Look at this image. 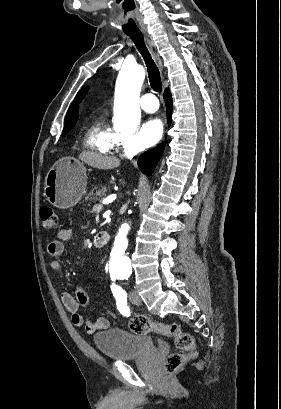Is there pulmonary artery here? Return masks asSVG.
<instances>
[{"label":"pulmonary artery","instance_id":"e3ab8cb5","mask_svg":"<svg viewBox=\"0 0 281 409\" xmlns=\"http://www.w3.org/2000/svg\"><path fill=\"white\" fill-rule=\"evenodd\" d=\"M155 101V94H144V96L141 98L140 105L143 110L152 112L157 109V106L154 105Z\"/></svg>","mask_w":281,"mask_h":409}]
</instances>
